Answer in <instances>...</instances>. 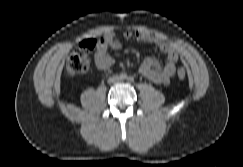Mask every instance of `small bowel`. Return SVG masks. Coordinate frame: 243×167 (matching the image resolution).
<instances>
[{
  "label": "small bowel",
  "instance_id": "1",
  "mask_svg": "<svg viewBox=\"0 0 243 167\" xmlns=\"http://www.w3.org/2000/svg\"><path fill=\"white\" fill-rule=\"evenodd\" d=\"M123 37L126 39L135 37L139 42L152 45L156 50L166 55L167 59L164 65H161L152 56L145 58L140 66V73L154 83L168 84L177 70L179 56L175 47L142 31H126L123 33ZM121 47L122 43L114 32L105 33L99 42L95 55L97 68L108 70L113 65V59L108 54V50L110 48L119 50Z\"/></svg>",
  "mask_w": 243,
  "mask_h": 167
}]
</instances>
